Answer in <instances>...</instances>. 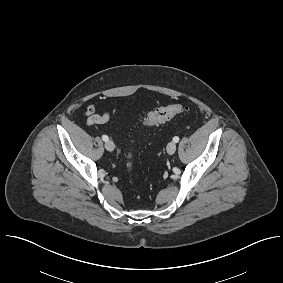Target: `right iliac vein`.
<instances>
[{
  "label": "right iliac vein",
  "mask_w": 283,
  "mask_h": 283,
  "mask_svg": "<svg viewBox=\"0 0 283 283\" xmlns=\"http://www.w3.org/2000/svg\"><path fill=\"white\" fill-rule=\"evenodd\" d=\"M105 148L108 150V151H113L114 148H115V145L113 143V141L111 140H108L105 142Z\"/></svg>",
  "instance_id": "obj_1"
}]
</instances>
